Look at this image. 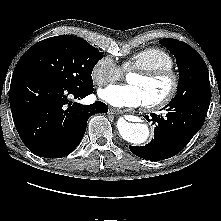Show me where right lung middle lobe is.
<instances>
[{"label":"right lung middle lobe","mask_w":221,"mask_h":221,"mask_svg":"<svg viewBox=\"0 0 221 221\" xmlns=\"http://www.w3.org/2000/svg\"><path fill=\"white\" fill-rule=\"evenodd\" d=\"M102 57L103 52L84 39L60 35L34 44L16 68L36 71L71 88L88 89L93 87L92 70Z\"/></svg>","instance_id":"1"}]
</instances>
